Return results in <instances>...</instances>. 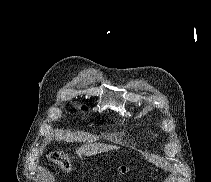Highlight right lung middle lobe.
<instances>
[{
    "label": "right lung middle lobe",
    "mask_w": 211,
    "mask_h": 182,
    "mask_svg": "<svg viewBox=\"0 0 211 182\" xmlns=\"http://www.w3.org/2000/svg\"><path fill=\"white\" fill-rule=\"evenodd\" d=\"M82 109H83V110H87V108H85V107H82Z\"/></svg>",
    "instance_id": "right-lung-middle-lobe-1"
}]
</instances>
